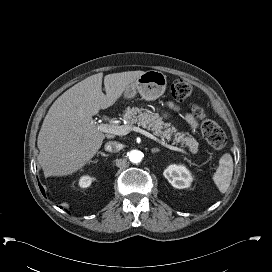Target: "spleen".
<instances>
[{
  "instance_id": "3e777b00",
  "label": "spleen",
  "mask_w": 272,
  "mask_h": 272,
  "mask_svg": "<svg viewBox=\"0 0 272 272\" xmlns=\"http://www.w3.org/2000/svg\"><path fill=\"white\" fill-rule=\"evenodd\" d=\"M219 167L213 180L220 192L225 193L230 186L233 175V160L230 154H224L219 160Z\"/></svg>"
}]
</instances>
